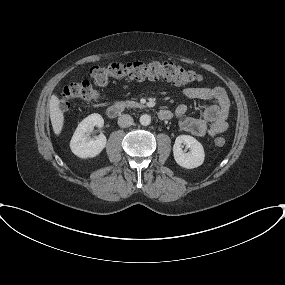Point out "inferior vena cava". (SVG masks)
<instances>
[{
  "instance_id": "inferior-vena-cava-1",
  "label": "inferior vena cava",
  "mask_w": 285,
  "mask_h": 285,
  "mask_svg": "<svg viewBox=\"0 0 285 285\" xmlns=\"http://www.w3.org/2000/svg\"><path fill=\"white\" fill-rule=\"evenodd\" d=\"M133 124V118L128 114H123L118 118V125L121 128L129 127Z\"/></svg>"
}]
</instances>
